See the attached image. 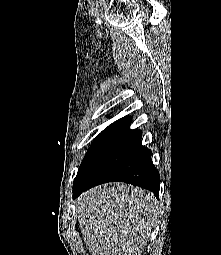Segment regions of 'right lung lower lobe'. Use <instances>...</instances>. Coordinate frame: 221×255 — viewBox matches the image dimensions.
<instances>
[{
	"mask_svg": "<svg viewBox=\"0 0 221 255\" xmlns=\"http://www.w3.org/2000/svg\"><path fill=\"white\" fill-rule=\"evenodd\" d=\"M131 118L109 125L93 141L73 183V197L102 183L121 181L159 197L160 175L151 151L141 145V131L130 130Z\"/></svg>",
	"mask_w": 221,
	"mask_h": 255,
	"instance_id": "1",
	"label": "right lung lower lobe"
}]
</instances>
